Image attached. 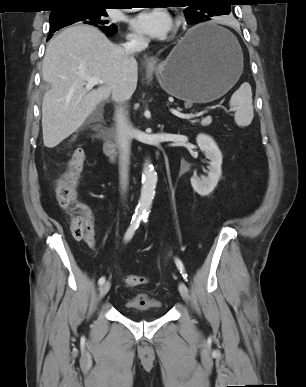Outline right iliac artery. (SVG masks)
Listing matches in <instances>:
<instances>
[{"label": "right iliac artery", "instance_id": "obj_1", "mask_svg": "<svg viewBox=\"0 0 306 387\" xmlns=\"http://www.w3.org/2000/svg\"><path fill=\"white\" fill-rule=\"evenodd\" d=\"M140 221H141V218L133 217V219H132V221L130 223L129 228H128L127 232L125 233V237H124L125 241H129L132 238V236L134 235L135 230L139 227ZM104 282H105V277H101L98 280V284L99 285H102Z\"/></svg>", "mask_w": 306, "mask_h": 387}]
</instances>
